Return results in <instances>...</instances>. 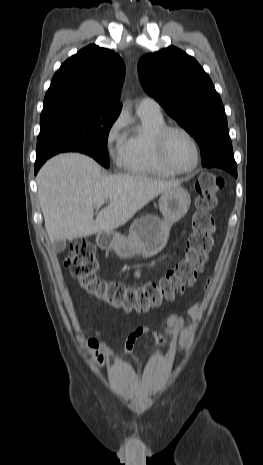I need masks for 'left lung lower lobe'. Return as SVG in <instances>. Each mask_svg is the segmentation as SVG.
Masks as SVG:
<instances>
[{"mask_svg": "<svg viewBox=\"0 0 263 465\" xmlns=\"http://www.w3.org/2000/svg\"><path fill=\"white\" fill-rule=\"evenodd\" d=\"M215 164H216V162H214L212 160H204L203 161V166H205V167H216ZM219 168H222V169L230 172L235 177H237V164H236V162H234V163H219Z\"/></svg>", "mask_w": 263, "mask_h": 465, "instance_id": "obj_1", "label": "left lung lower lobe"}]
</instances>
